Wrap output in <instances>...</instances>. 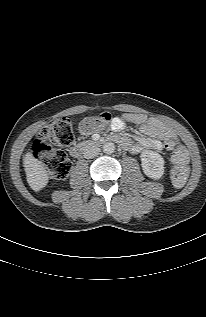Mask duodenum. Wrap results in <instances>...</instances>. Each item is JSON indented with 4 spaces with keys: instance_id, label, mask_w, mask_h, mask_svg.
<instances>
[{
    "instance_id": "410a0bca",
    "label": "duodenum",
    "mask_w": 206,
    "mask_h": 317,
    "mask_svg": "<svg viewBox=\"0 0 206 317\" xmlns=\"http://www.w3.org/2000/svg\"><path fill=\"white\" fill-rule=\"evenodd\" d=\"M106 142L122 143L123 139L118 136H109L106 139H95L88 142L78 144L71 149V155L74 158H80L86 151L96 147L98 144H106Z\"/></svg>"
}]
</instances>
